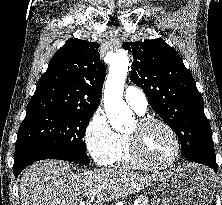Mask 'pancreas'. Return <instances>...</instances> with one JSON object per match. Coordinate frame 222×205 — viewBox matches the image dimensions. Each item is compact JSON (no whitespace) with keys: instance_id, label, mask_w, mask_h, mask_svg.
I'll return each mask as SVG.
<instances>
[{"instance_id":"obj_1","label":"pancreas","mask_w":222,"mask_h":205,"mask_svg":"<svg viewBox=\"0 0 222 205\" xmlns=\"http://www.w3.org/2000/svg\"><path fill=\"white\" fill-rule=\"evenodd\" d=\"M137 205H148V198L146 196H141Z\"/></svg>"}]
</instances>
